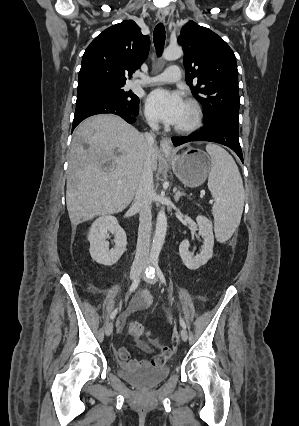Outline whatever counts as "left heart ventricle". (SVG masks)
I'll return each instance as SVG.
<instances>
[{"label": "left heart ventricle", "instance_id": "left-heart-ventricle-1", "mask_svg": "<svg viewBox=\"0 0 299 426\" xmlns=\"http://www.w3.org/2000/svg\"><path fill=\"white\" fill-rule=\"evenodd\" d=\"M192 117H193L192 109L186 104L182 119L177 126L188 125L191 122Z\"/></svg>", "mask_w": 299, "mask_h": 426}]
</instances>
